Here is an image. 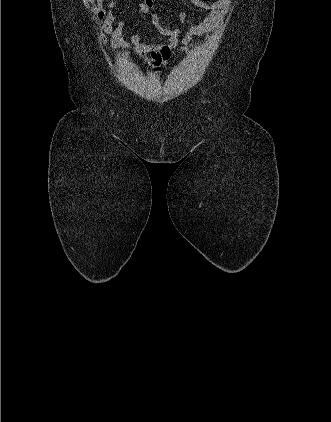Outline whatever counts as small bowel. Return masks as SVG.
Wrapping results in <instances>:
<instances>
[{
  "label": "small bowel",
  "mask_w": 331,
  "mask_h": 422,
  "mask_svg": "<svg viewBox=\"0 0 331 422\" xmlns=\"http://www.w3.org/2000/svg\"><path fill=\"white\" fill-rule=\"evenodd\" d=\"M189 1L194 6L209 11V14L199 24H192L187 12L182 11L179 14V21L186 30L185 35L181 36L179 28L170 27L161 22L154 0H142L138 5L139 11L149 15L156 31L162 36L159 40L146 44L142 42L145 37L142 33L133 34L130 41L123 39L124 20L121 19L115 23L116 18L112 12L117 4L116 0H110L107 3V13L103 8V0H98L96 13L107 36L102 35L99 40L101 44L108 42L112 48L122 53L136 55L151 68L154 74H160L171 58L172 50L175 47L180 44L178 52H186L190 47L194 46V44H191V39L216 29L227 16L232 3V0H217L210 4L202 0Z\"/></svg>",
  "instance_id": "c3829d8e"
}]
</instances>
